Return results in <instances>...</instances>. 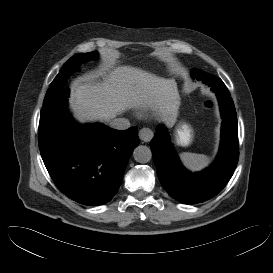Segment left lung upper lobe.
<instances>
[{
	"label": "left lung upper lobe",
	"instance_id": "left-lung-upper-lobe-1",
	"mask_svg": "<svg viewBox=\"0 0 273 273\" xmlns=\"http://www.w3.org/2000/svg\"><path fill=\"white\" fill-rule=\"evenodd\" d=\"M196 75H195V73H194V69H192L191 70V77L193 78V79H195L196 77H195Z\"/></svg>",
	"mask_w": 273,
	"mask_h": 273
}]
</instances>
